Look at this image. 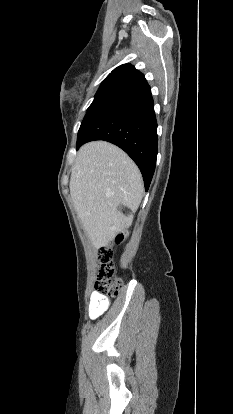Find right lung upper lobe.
Listing matches in <instances>:
<instances>
[{"mask_svg": "<svg viewBox=\"0 0 233 414\" xmlns=\"http://www.w3.org/2000/svg\"><path fill=\"white\" fill-rule=\"evenodd\" d=\"M109 76L120 77L134 82L140 77H143V75L130 64H124L117 67L108 75V77Z\"/></svg>", "mask_w": 233, "mask_h": 414, "instance_id": "obj_1", "label": "right lung upper lobe"}]
</instances>
